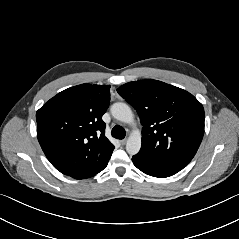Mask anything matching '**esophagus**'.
<instances>
[{
    "label": "esophagus",
    "instance_id": "esophagus-1",
    "mask_svg": "<svg viewBox=\"0 0 239 239\" xmlns=\"http://www.w3.org/2000/svg\"><path fill=\"white\" fill-rule=\"evenodd\" d=\"M126 142H127V139H123V140L120 141L121 145H125Z\"/></svg>",
    "mask_w": 239,
    "mask_h": 239
}]
</instances>
